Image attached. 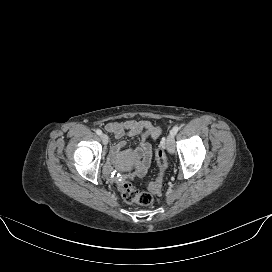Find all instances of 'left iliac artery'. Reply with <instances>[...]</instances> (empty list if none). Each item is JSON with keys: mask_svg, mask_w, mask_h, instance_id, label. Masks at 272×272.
Returning a JSON list of instances; mask_svg holds the SVG:
<instances>
[{"mask_svg": "<svg viewBox=\"0 0 272 272\" xmlns=\"http://www.w3.org/2000/svg\"><path fill=\"white\" fill-rule=\"evenodd\" d=\"M180 130V127L179 126H174L170 132V134L174 137L177 132Z\"/></svg>", "mask_w": 272, "mask_h": 272, "instance_id": "left-iliac-artery-1", "label": "left iliac artery"}]
</instances>
